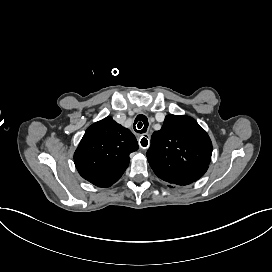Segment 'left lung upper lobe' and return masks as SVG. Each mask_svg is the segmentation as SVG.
Here are the masks:
<instances>
[{"mask_svg": "<svg viewBox=\"0 0 272 272\" xmlns=\"http://www.w3.org/2000/svg\"><path fill=\"white\" fill-rule=\"evenodd\" d=\"M146 155L160 179L171 185H187L207 171L212 143L193 118L167 115L162 128L153 133Z\"/></svg>", "mask_w": 272, "mask_h": 272, "instance_id": "1", "label": "left lung upper lobe"}]
</instances>
